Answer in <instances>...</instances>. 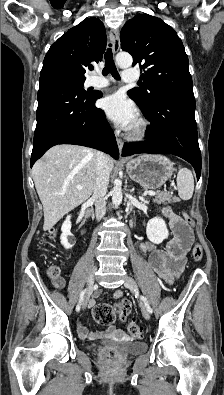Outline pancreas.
Instances as JSON below:
<instances>
[{
  "instance_id": "obj_1",
  "label": "pancreas",
  "mask_w": 224,
  "mask_h": 395,
  "mask_svg": "<svg viewBox=\"0 0 224 395\" xmlns=\"http://www.w3.org/2000/svg\"><path fill=\"white\" fill-rule=\"evenodd\" d=\"M155 202H162L164 204L171 203V202H177L178 198L173 197L172 194L168 192H161L157 193L155 198L153 199Z\"/></svg>"
}]
</instances>
